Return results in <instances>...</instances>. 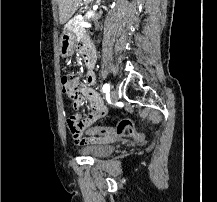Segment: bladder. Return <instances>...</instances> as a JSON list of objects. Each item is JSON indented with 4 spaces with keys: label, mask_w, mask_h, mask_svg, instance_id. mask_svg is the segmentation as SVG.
Instances as JSON below:
<instances>
[{
    "label": "bladder",
    "mask_w": 217,
    "mask_h": 202,
    "mask_svg": "<svg viewBox=\"0 0 217 202\" xmlns=\"http://www.w3.org/2000/svg\"><path fill=\"white\" fill-rule=\"evenodd\" d=\"M115 145H110L108 143H98L90 147L81 148L83 153H87L94 157L109 156L114 150Z\"/></svg>",
    "instance_id": "obj_1"
}]
</instances>
